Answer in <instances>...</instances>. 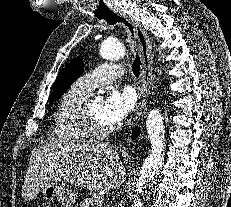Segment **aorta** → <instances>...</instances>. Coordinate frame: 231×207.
I'll list each match as a JSON object with an SVG mask.
<instances>
[{"label": "aorta", "mask_w": 231, "mask_h": 207, "mask_svg": "<svg viewBox=\"0 0 231 207\" xmlns=\"http://www.w3.org/2000/svg\"><path fill=\"white\" fill-rule=\"evenodd\" d=\"M126 54L125 46L116 41L105 40L100 47V55L106 60H118ZM148 137L151 142V153L145 159L138 179L131 207H142L143 203L139 195L150 184L154 177L159 173L164 160L165 132L163 118L158 110H152L146 121Z\"/></svg>", "instance_id": "762f6f07"}]
</instances>
